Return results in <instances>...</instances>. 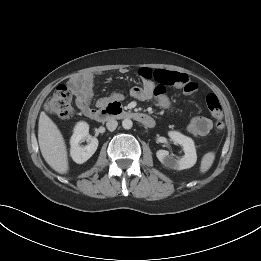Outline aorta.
Masks as SVG:
<instances>
[{
    "mask_svg": "<svg viewBox=\"0 0 261 261\" xmlns=\"http://www.w3.org/2000/svg\"><path fill=\"white\" fill-rule=\"evenodd\" d=\"M122 126H123L124 129L129 130V129L132 128L133 122H132L131 119H124V120L122 121Z\"/></svg>",
    "mask_w": 261,
    "mask_h": 261,
    "instance_id": "1",
    "label": "aorta"
}]
</instances>
